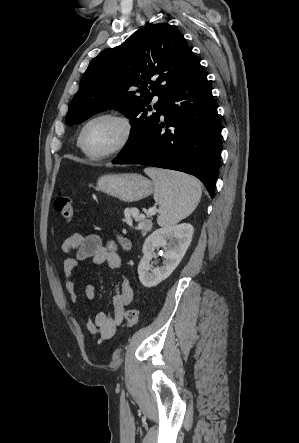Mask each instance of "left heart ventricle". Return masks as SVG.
I'll list each match as a JSON object with an SVG mask.
<instances>
[{"instance_id": "obj_1", "label": "left heart ventricle", "mask_w": 299, "mask_h": 443, "mask_svg": "<svg viewBox=\"0 0 299 443\" xmlns=\"http://www.w3.org/2000/svg\"><path fill=\"white\" fill-rule=\"evenodd\" d=\"M123 136L120 123L112 119H100L91 123L85 133V147L93 154H101L114 148Z\"/></svg>"}]
</instances>
